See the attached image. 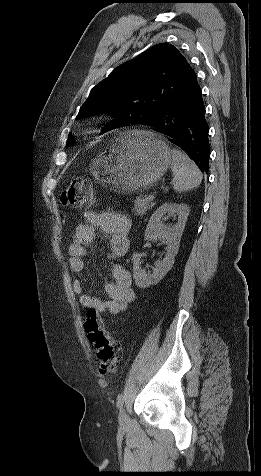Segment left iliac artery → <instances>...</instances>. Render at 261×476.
I'll return each instance as SVG.
<instances>
[{"label": "left iliac artery", "instance_id": "left-iliac-artery-1", "mask_svg": "<svg viewBox=\"0 0 261 476\" xmlns=\"http://www.w3.org/2000/svg\"><path fill=\"white\" fill-rule=\"evenodd\" d=\"M123 403H124V396L120 394L118 395V398H117V407L121 408L123 406Z\"/></svg>", "mask_w": 261, "mask_h": 476}]
</instances>
